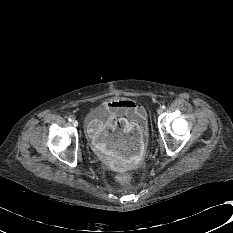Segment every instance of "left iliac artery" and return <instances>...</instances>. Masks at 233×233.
I'll list each match as a JSON object with an SVG mask.
<instances>
[{
  "mask_svg": "<svg viewBox=\"0 0 233 233\" xmlns=\"http://www.w3.org/2000/svg\"><path fill=\"white\" fill-rule=\"evenodd\" d=\"M165 108H166V106H165V105H163V106H162V109H165Z\"/></svg>",
  "mask_w": 233,
  "mask_h": 233,
  "instance_id": "obj_1",
  "label": "left iliac artery"
}]
</instances>
